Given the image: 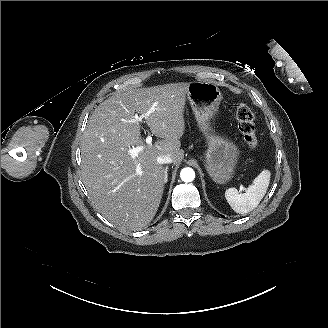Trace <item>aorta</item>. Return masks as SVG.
<instances>
[{"instance_id": "obj_1", "label": "aorta", "mask_w": 328, "mask_h": 328, "mask_svg": "<svg viewBox=\"0 0 328 328\" xmlns=\"http://www.w3.org/2000/svg\"><path fill=\"white\" fill-rule=\"evenodd\" d=\"M181 180L188 183L195 179V172L192 168H183L180 172Z\"/></svg>"}]
</instances>
